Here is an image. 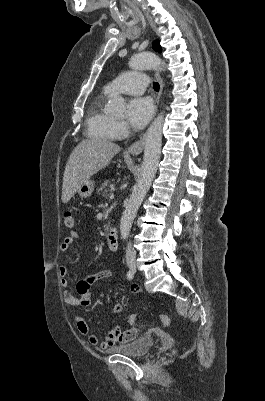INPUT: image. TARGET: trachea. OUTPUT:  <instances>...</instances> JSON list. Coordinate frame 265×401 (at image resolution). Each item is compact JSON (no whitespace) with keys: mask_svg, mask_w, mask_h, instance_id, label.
<instances>
[{"mask_svg":"<svg viewBox=\"0 0 265 401\" xmlns=\"http://www.w3.org/2000/svg\"><path fill=\"white\" fill-rule=\"evenodd\" d=\"M153 88H154L155 92H159V88H160L159 83L154 82L153 83Z\"/></svg>","mask_w":265,"mask_h":401,"instance_id":"trachea-1","label":"trachea"}]
</instances>
